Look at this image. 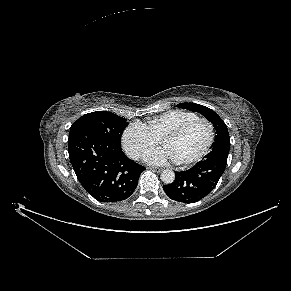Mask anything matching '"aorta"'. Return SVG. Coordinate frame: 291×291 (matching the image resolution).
Returning <instances> with one entry per match:
<instances>
[{
	"label": "aorta",
	"mask_w": 291,
	"mask_h": 291,
	"mask_svg": "<svg viewBox=\"0 0 291 291\" xmlns=\"http://www.w3.org/2000/svg\"><path fill=\"white\" fill-rule=\"evenodd\" d=\"M160 178L165 184H171L175 180V173L170 169H165L162 171Z\"/></svg>",
	"instance_id": "762f6f07"
}]
</instances>
